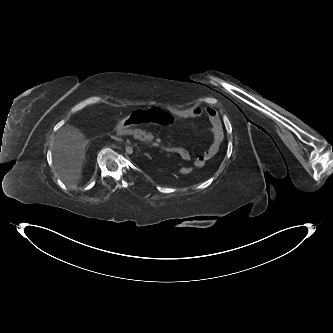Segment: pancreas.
<instances>
[{
	"instance_id": "obj_1",
	"label": "pancreas",
	"mask_w": 333,
	"mask_h": 333,
	"mask_svg": "<svg viewBox=\"0 0 333 333\" xmlns=\"http://www.w3.org/2000/svg\"><path fill=\"white\" fill-rule=\"evenodd\" d=\"M125 133L133 135L135 139L147 142L146 133L141 129H128L125 130Z\"/></svg>"
}]
</instances>
